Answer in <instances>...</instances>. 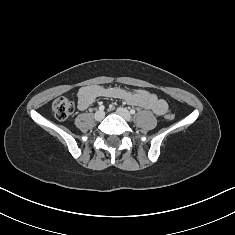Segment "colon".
I'll use <instances>...</instances> for the list:
<instances>
[{"mask_svg":"<svg viewBox=\"0 0 235 235\" xmlns=\"http://www.w3.org/2000/svg\"><path fill=\"white\" fill-rule=\"evenodd\" d=\"M52 110L57 119L65 120L72 114L73 104L69 99L65 97H59L54 100L52 104ZM165 117L167 120H173L174 114L167 113Z\"/></svg>","mask_w":235,"mask_h":235,"instance_id":"1","label":"colon"}]
</instances>
